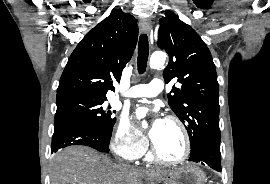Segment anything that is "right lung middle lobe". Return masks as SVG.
<instances>
[{"mask_svg": "<svg viewBox=\"0 0 270 184\" xmlns=\"http://www.w3.org/2000/svg\"><path fill=\"white\" fill-rule=\"evenodd\" d=\"M106 99L92 96L69 95L57 98L55 120L72 118L84 121L107 136H111L116 118L112 117L114 110L104 106Z\"/></svg>", "mask_w": 270, "mask_h": 184, "instance_id": "right-lung-middle-lobe-1", "label": "right lung middle lobe"}]
</instances>
